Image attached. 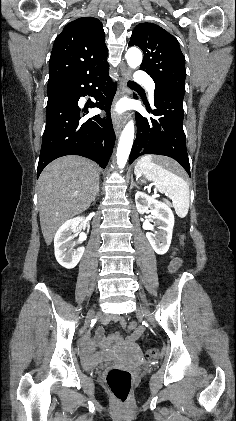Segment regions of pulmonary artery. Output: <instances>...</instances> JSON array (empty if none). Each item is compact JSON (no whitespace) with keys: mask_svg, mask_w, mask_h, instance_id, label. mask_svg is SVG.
<instances>
[{"mask_svg":"<svg viewBox=\"0 0 236 421\" xmlns=\"http://www.w3.org/2000/svg\"><path fill=\"white\" fill-rule=\"evenodd\" d=\"M135 75H136V81L142 86H151L153 84V79L151 77H146L147 71L145 69H139L138 71L135 72ZM148 93H149V98L152 101L153 94H154V87L149 88Z\"/></svg>","mask_w":236,"mask_h":421,"instance_id":"1","label":"pulmonary artery"}]
</instances>
